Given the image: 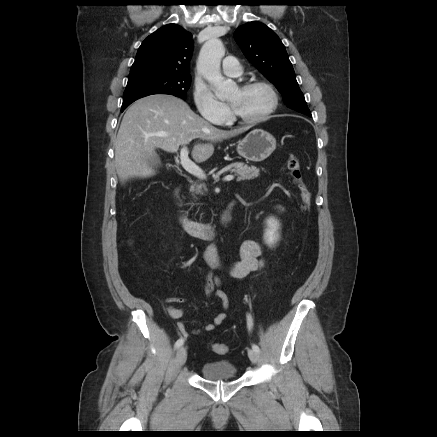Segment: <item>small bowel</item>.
<instances>
[{
  "instance_id": "small-bowel-1",
  "label": "small bowel",
  "mask_w": 437,
  "mask_h": 437,
  "mask_svg": "<svg viewBox=\"0 0 437 437\" xmlns=\"http://www.w3.org/2000/svg\"><path fill=\"white\" fill-rule=\"evenodd\" d=\"M280 209V208H279ZM263 250L260 243L254 240H247L243 242L240 248V259L232 264L230 268V274L237 279L245 278L249 273L260 270L263 265ZM208 261L213 268L219 266V260L214 249H211L207 255ZM218 283L217 279H213L210 275L206 279V293L208 296L213 294V285ZM215 297L221 301L223 311L218 313L212 320V322L207 323L203 326L202 331H213L218 326H220L227 318V310L229 308V301L227 295L222 290H217L214 293ZM168 313L173 319H180L184 316V311L181 308L174 306L168 307ZM178 330L181 335L185 338L188 337L189 333L184 323L179 322ZM200 330L194 331L195 334L199 333Z\"/></svg>"
}]
</instances>
